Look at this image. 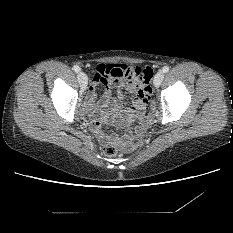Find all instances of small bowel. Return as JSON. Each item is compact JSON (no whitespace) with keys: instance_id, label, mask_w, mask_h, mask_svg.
<instances>
[{"instance_id":"1","label":"small bowel","mask_w":233,"mask_h":233,"mask_svg":"<svg viewBox=\"0 0 233 233\" xmlns=\"http://www.w3.org/2000/svg\"><path fill=\"white\" fill-rule=\"evenodd\" d=\"M126 70H131L135 75L141 73L142 76L136 77L131 82L125 81L123 74ZM142 71L143 68L129 67L122 63L99 62L97 64L92 85L88 89L85 106L87 112L93 118L90 124L91 132L101 145L118 142L128 147H134L139 143L147 127L145 118L146 101L139 102L135 99L130 106L125 107L123 91L119 89L117 97L113 98L112 88H126L130 93L137 94L139 89L146 87L148 84V79ZM98 84L105 86L100 104L97 103L96 87ZM103 121L116 124L136 121L138 126L129 131L128 135L118 137L102 130L101 123Z\"/></svg>"}]
</instances>
